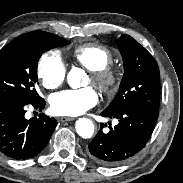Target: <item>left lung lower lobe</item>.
Segmentation results:
<instances>
[{
  "label": "left lung lower lobe",
  "mask_w": 183,
  "mask_h": 183,
  "mask_svg": "<svg viewBox=\"0 0 183 183\" xmlns=\"http://www.w3.org/2000/svg\"><path fill=\"white\" fill-rule=\"evenodd\" d=\"M103 117L116 118L119 123L103 133V124L88 147V155L102 166H114L134 156L149 140L158 118V109L129 106L117 112L103 111Z\"/></svg>",
  "instance_id": "obj_1"
}]
</instances>
